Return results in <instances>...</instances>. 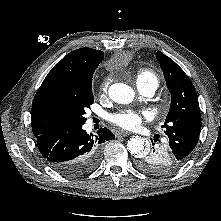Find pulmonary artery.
Returning <instances> with one entry per match:
<instances>
[{
  "instance_id": "pulmonary-artery-1",
  "label": "pulmonary artery",
  "mask_w": 221,
  "mask_h": 221,
  "mask_svg": "<svg viewBox=\"0 0 221 221\" xmlns=\"http://www.w3.org/2000/svg\"><path fill=\"white\" fill-rule=\"evenodd\" d=\"M137 88L143 96L151 97L154 95L157 85L153 82H139Z\"/></svg>"
}]
</instances>
